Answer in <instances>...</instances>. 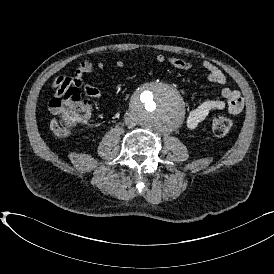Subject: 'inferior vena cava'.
<instances>
[{
  "label": "inferior vena cava",
  "mask_w": 274,
  "mask_h": 274,
  "mask_svg": "<svg viewBox=\"0 0 274 274\" xmlns=\"http://www.w3.org/2000/svg\"><path fill=\"white\" fill-rule=\"evenodd\" d=\"M129 127H132V123H129Z\"/></svg>",
  "instance_id": "obj_1"
}]
</instances>
